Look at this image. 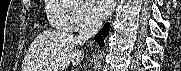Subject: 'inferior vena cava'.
Wrapping results in <instances>:
<instances>
[{"label": "inferior vena cava", "mask_w": 181, "mask_h": 71, "mask_svg": "<svg viewBox=\"0 0 181 71\" xmlns=\"http://www.w3.org/2000/svg\"><path fill=\"white\" fill-rule=\"evenodd\" d=\"M102 22L96 18L88 17L84 20L79 30L77 41L83 43L93 37L101 28Z\"/></svg>", "instance_id": "inferior-vena-cava-1"}]
</instances>
